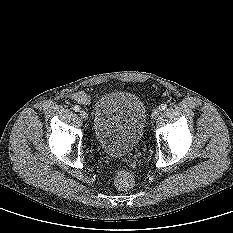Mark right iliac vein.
I'll list each match as a JSON object with an SVG mask.
<instances>
[{"label": "right iliac vein", "mask_w": 233, "mask_h": 233, "mask_svg": "<svg viewBox=\"0 0 233 233\" xmlns=\"http://www.w3.org/2000/svg\"><path fill=\"white\" fill-rule=\"evenodd\" d=\"M79 115L83 120L88 119V114L84 110L79 111Z\"/></svg>", "instance_id": "63e3f726"}]
</instances>
